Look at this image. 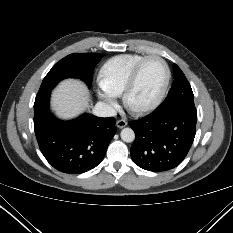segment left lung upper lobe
<instances>
[{
  "mask_svg": "<svg viewBox=\"0 0 233 233\" xmlns=\"http://www.w3.org/2000/svg\"><path fill=\"white\" fill-rule=\"evenodd\" d=\"M191 86L181 69L174 64V81L172 87L156 110H164L176 105H194Z\"/></svg>",
  "mask_w": 233,
  "mask_h": 233,
  "instance_id": "obj_1",
  "label": "left lung upper lobe"
}]
</instances>
